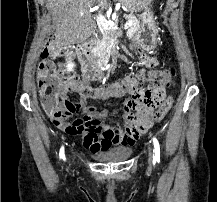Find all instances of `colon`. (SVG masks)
I'll return each mask as SVG.
<instances>
[{
  "mask_svg": "<svg viewBox=\"0 0 217 202\" xmlns=\"http://www.w3.org/2000/svg\"><path fill=\"white\" fill-rule=\"evenodd\" d=\"M45 41H54V36H45ZM68 47H52V49H41V54L63 55L68 52ZM52 55H40L35 60L36 64H40L41 68H37L38 81L41 86H37V91H46L43 93L42 103L45 104V111H50L48 119H54L55 127L61 128L68 134H81L87 130H100L101 122L98 119L90 118L83 115L74 120L70 119V114L76 110H80L79 105L71 102H64L62 98L63 92L68 91V86H64L62 73L67 72V63H55ZM176 77L174 69H163L155 72L137 73L131 75L127 82H150V87H142L140 90H134L133 101L138 111H146L155 108L158 101L163 99L164 92L167 87L173 84ZM172 104V96L165 100L164 106L160 110L154 112L155 124L160 121ZM143 118L139 117L133 124L128 127H118L115 131H134V126H140ZM151 121V120H150ZM145 132V131H144ZM139 137V136H138Z\"/></svg>",
  "mask_w": 217,
  "mask_h": 202,
  "instance_id": "colon-1",
  "label": "colon"
}]
</instances>
